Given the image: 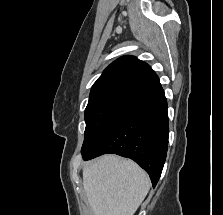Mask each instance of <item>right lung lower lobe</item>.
I'll use <instances>...</instances> for the list:
<instances>
[{"label": "right lung lower lobe", "instance_id": "1", "mask_svg": "<svg viewBox=\"0 0 223 215\" xmlns=\"http://www.w3.org/2000/svg\"><path fill=\"white\" fill-rule=\"evenodd\" d=\"M167 101L160 89L127 112L88 153L85 160L103 154H117L139 164L157 184L168 148Z\"/></svg>", "mask_w": 223, "mask_h": 215}]
</instances>
